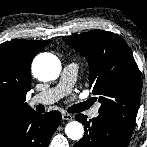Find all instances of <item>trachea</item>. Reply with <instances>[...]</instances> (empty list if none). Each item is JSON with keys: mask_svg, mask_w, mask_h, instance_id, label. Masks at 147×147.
<instances>
[{"mask_svg": "<svg viewBox=\"0 0 147 147\" xmlns=\"http://www.w3.org/2000/svg\"><path fill=\"white\" fill-rule=\"evenodd\" d=\"M87 107H88V103L84 102V103L72 105L71 107L68 108L67 111L69 113H78V112L85 110Z\"/></svg>", "mask_w": 147, "mask_h": 147, "instance_id": "3493384b", "label": "trachea"}]
</instances>
